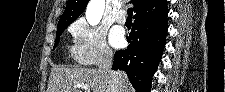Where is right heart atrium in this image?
<instances>
[{"instance_id":"obj_1","label":"right heart atrium","mask_w":225,"mask_h":92,"mask_svg":"<svg viewBox=\"0 0 225 92\" xmlns=\"http://www.w3.org/2000/svg\"><path fill=\"white\" fill-rule=\"evenodd\" d=\"M73 38L72 54L80 65H95L112 55L106 42V30L81 18L70 27Z\"/></svg>"}]
</instances>
